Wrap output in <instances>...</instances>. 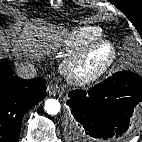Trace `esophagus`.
Returning <instances> with one entry per match:
<instances>
[{"label": "esophagus", "instance_id": "esophagus-1", "mask_svg": "<svg viewBox=\"0 0 142 142\" xmlns=\"http://www.w3.org/2000/svg\"><path fill=\"white\" fill-rule=\"evenodd\" d=\"M59 92L58 87L55 86L54 84H49L47 87V93L50 96H55Z\"/></svg>", "mask_w": 142, "mask_h": 142}]
</instances>
